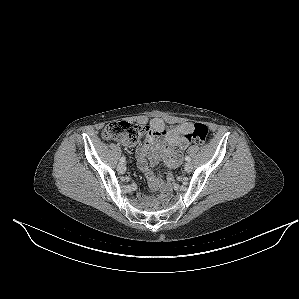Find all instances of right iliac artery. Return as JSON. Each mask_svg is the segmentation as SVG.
Returning <instances> with one entry per match:
<instances>
[{"label": "right iliac artery", "mask_w": 299, "mask_h": 299, "mask_svg": "<svg viewBox=\"0 0 299 299\" xmlns=\"http://www.w3.org/2000/svg\"><path fill=\"white\" fill-rule=\"evenodd\" d=\"M125 162V157L123 156V157H121V159H120V163H124Z\"/></svg>", "instance_id": "right-iliac-artery-1"}]
</instances>
